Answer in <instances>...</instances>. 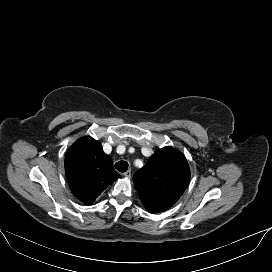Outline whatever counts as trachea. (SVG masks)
Segmentation results:
<instances>
[{
	"instance_id": "3493384b",
	"label": "trachea",
	"mask_w": 272,
	"mask_h": 272,
	"mask_svg": "<svg viewBox=\"0 0 272 272\" xmlns=\"http://www.w3.org/2000/svg\"><path fill=\"white\" fill-rule=\"evenodd\" d=\"M115 168L120 172H126L128 169V162L119 161L115 164Z\"/></svg>"
}]
</instances>
